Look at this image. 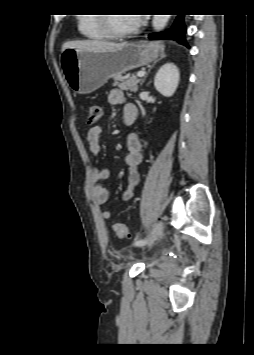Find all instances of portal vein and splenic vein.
<instances>
[{
    "mask_svg": "<svg viewBox=\"0 0 254 355\" xmlns=\"http://www.w3.org/2000/svg\"><path fill=\"white\" fill-rule=\"evenodd\" d=\"M144 74H145V72L140 71V72H138V73H137V76H138V77H143V76H144Z\"/></svg>",
    "mask_w": 254,
    "mask_h": 355,
    "instance_id": "obj_1",
    "label": "portal vein and splenic vein"
}]
</instances>
